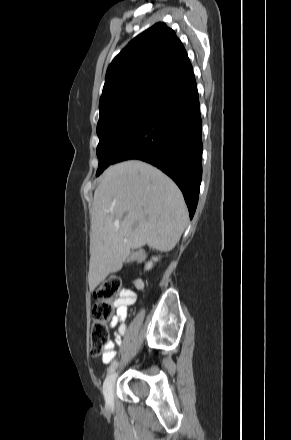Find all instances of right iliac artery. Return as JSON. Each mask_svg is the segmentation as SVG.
Masks as SVG:
<instances>
[{"label":"right iliac artery","instance_id":"82829eb1","mask_svg":"<svg viewBox=\"0 0 291 440\" xmlns=\"http://www.w3.org/2000/svg\"><path fill=\"white\" fill-rule=\"evenodd\" d=\"M117 365H118L117 361H114L113 363H111V365L109 366V368L107 370L108 374L113 372L116 369Z\"/></svg>","mask_w":291,"mask_h":440}]
</instances>
